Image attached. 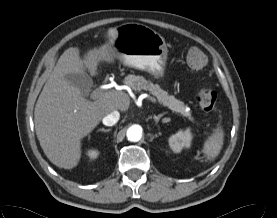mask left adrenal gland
I'll use <instances>...</instances> for the list:
<instances>
[{
  "instance_id": "left-adrenal-gland-1",
  "label": "left adrenal gland",
  "mask_w": 277,
  "mask_h": 218,
  "mask_svg": "<svg viewBox=\"0 0 277 218\" xmlns=\"http://www.w3.org/2000/svg\"><path fill=\"white\" fill-rule=\"evenodd\" d=\"M166 113H161L159 114L158 116L154 115V120H155V123L158 124L159 120L161 119L162 116H164ZM163 123L167 122L168 120H162Z\"/></svg>"
}]
</instances>
